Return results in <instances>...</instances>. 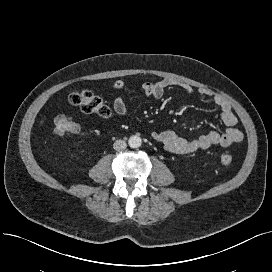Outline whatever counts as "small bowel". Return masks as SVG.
Instances as JSON below:
<instances>
[{
  "mask_svg": "<svg viewBox=\"0 0 272 272\" xmlns=\"http://www.w3.org/2000/svg\"><path fill=\"white\" fill-rule=\"evenodd\" d=\"M126 83L123 80H116L112 87L116 90L123 89ZM176 87L188 94H194L195 90L188 84L165 78L155 82H145L142 91L148 97L160 99L166 89ZM198 94L204 97H212L214 104L219 108L221 120L226 126L222 133L210 131L194 139H187L179 136L173 131H153V138L167 151L175 154H187L195 151L206 150L212 146L230 147L243 140L244 134L237 127L238 119L234 114L230 103L220 95H215L211 90L200 89ZM114 110L118 115L124 116L128 113V107L124 98L118 97L114 101Z\"/></svg>",
  "mask_w": 272,
  "mask_h": 272,
  "instance_id": "c3829d8e",
  "label": "small bowel"
}]
</instances>
